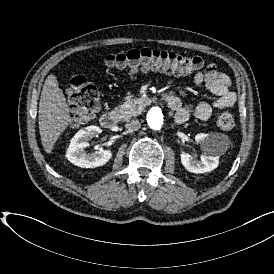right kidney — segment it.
Segmentation results:
<instances>
[{"instance_id":"1","label":"right kidney","mask_w":274,"mask_h":274,"mask_svg":"<svg viewBox=\"0 0 274 274\" xmlns=\"http://www.w3.org/2000/svg\"><path fill=\"white\" fill-rule=\"evenodd\" d=\"M102 132L98 126L90 125L80 129L71 139L66 151V159L82 168H96L108 163L114 155L112 149L87 153L84 148L88 147V141L98 136Z\"/></svg>"}]
</instances>
